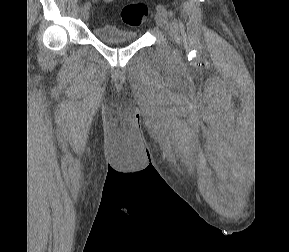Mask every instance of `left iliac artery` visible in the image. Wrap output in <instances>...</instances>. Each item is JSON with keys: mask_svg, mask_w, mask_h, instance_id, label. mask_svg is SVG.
Instances as JSON below:
<instances>
[{"mask_svg": "<svg viewBox=\"0 0 289 252\" xmlns=\"http://www.w3.org/2000/svg\"><path fill=\"white\" fill-rule=\"evenodd\" d=\"M156 9H157V11H160V12H162V13L168 15V16H172V13H171V12H168L167 9H166V7H164V6L161 5V4L157 5Z\"/></svg>", "mask_w": 289, "mask_h": 252, "instance_id": "44dca946", "label": "left iliac artery"}]
</instances>
